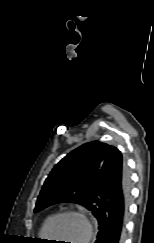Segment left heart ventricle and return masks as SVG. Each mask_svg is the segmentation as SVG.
Returning <instances> with one entry per match:
<instances>
[{"instance_id": "left-heart-ventricle-1", "label": "left heart ventricle", "mask_w": 154, "mask_h": 243, "mask_svg": "<svg viewBox=\"0 0 154 243\" xmlns=\"http://www.w3.org/2000/svg\"><path fill=\"white\" fill-rule=\"evenodd\" d=\"M85 233L83 221L74 216L58 218L51 228V236L57 239H71V243H81ZM64 243L63 241H57Z\"/></svg>"}]
</instances>
